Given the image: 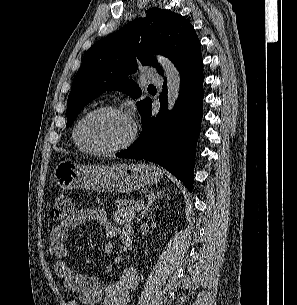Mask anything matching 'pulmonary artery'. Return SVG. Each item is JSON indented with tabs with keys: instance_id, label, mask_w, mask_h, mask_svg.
I'll use <instances>...</instances> for the list:
<instances>
[{
	"instance_id": "1",
	"label": "pulmonary artery",
	"mask_w": 297,
	"mask_h": 305,
	"mask_svg": "<svg viewBox=\"0 0 297 305\" xmlns=\"http://www.w3.org/2000/svg\"><path fill=\"white\" fill-rule=\"evenodd\" d=\"M147 80L150 83L153 84H161L162 83V79L161 77L155 72V70L150 69L147 71Z\"/></svg>"
}]
</instances>
